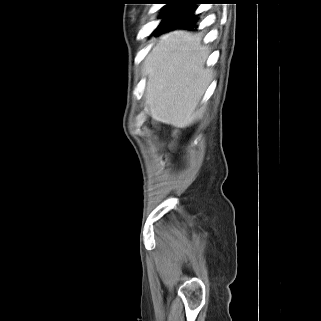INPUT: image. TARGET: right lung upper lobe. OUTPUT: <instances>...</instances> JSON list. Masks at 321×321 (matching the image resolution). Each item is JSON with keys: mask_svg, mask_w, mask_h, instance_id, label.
I'll use <instances>...</instances> for the list:
<instances>
[{"mask_svg": "<svg viewBox=\"0 0 321 321\" xmlns=\"http://www.w3.org/2000/svg\"><path fill=\"white\" fill-rule=\"evenodd\" d=\"M180 1V3H174L173 5L176 7V6H184V4H190L192 3V1L194 0H178Z\"/></svg>", "mask_w": 321, "mask_h": 321, "instance_id": "obj_1", "label": "right lung upper lobe"}]
</instances>
